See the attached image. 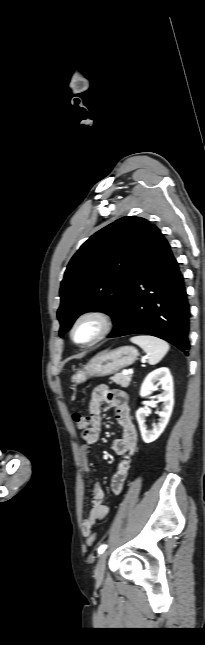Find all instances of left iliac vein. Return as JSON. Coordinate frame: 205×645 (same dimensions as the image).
I'll return each mask as SVG.
<instances>
[{"label":"left iliac vein","instance_id":"obj_1","mask_svg":"<svg viewBox=\"0 0 205 645\" xmlns=\"http://www.w3.org/2000/svg\"><path fill=\"white\" fill-rule=\"evenodd\" d=\"M107 555V552H103L96 564L94 576L97 582H102L104 579Z\"/></svg>","mask_w":205,"mask_h":645}]
</instances>
